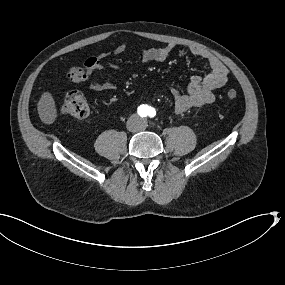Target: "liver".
<instances>
[{"label":"liver","instance_id":"1","mask_svg":"<svg viewBox=\"0 0 285 285\" xmlns=\"http://www.w3.org/2000/svg\"><path fill=\"white\" fill-rule=\"evenodd\" d=\"M37 112L41 122L45 125H52L57 117V106L54 96L49 91L42 92L37 102Z\"/></svg>","mask_w":285,"mask_h":285}]
</instances>
